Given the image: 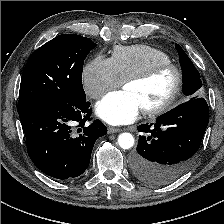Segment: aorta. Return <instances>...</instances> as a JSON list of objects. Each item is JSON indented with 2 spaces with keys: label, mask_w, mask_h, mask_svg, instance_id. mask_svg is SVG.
Here are the masks:
<instances>
[{
  "label": "aorta",
  "mask_w": 224,
  "mask_h": 224,
  "mask_svg": "<svg viewBox=\"0 0 224 224\" xmlns=\"http://www.w3.org/2000/svg\"><path fill=\"white\" fill-rule=\"evenodd\" d=\"M134 137L130 133H121L118 136V144L122 149H130L134 146Z\"/></svg>",
  "instance_id": "762f6f07"
}]
</instances>
